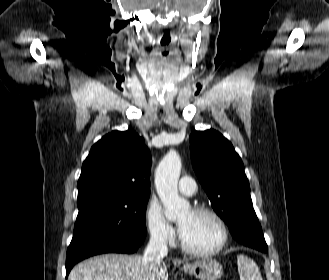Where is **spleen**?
<instances>
[{
  "label": "spleen",
  "instance_id": "obj_1",
  "mask_svg": "<svg viewBox=\"0 0 329 280\" xmlns=\"http://www.w3.org/2000/svg\"><path fill=\"white\" fill-rule=\"evenodd\" d=\"M240 280H262L257 264L249 257L241 254L237 256Z\"/></svg>",
  "mask_w": 329,
  "mask_h": 280
}]
</instances>
